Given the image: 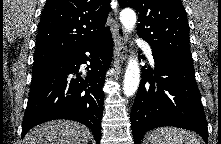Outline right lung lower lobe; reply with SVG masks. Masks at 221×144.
<instances>
[{
	"mask_svg": "<svg viewBox=\"0 0 221 144\" xmlns=\"http://www.w3.org/2000/svg\"><path fill=\"white\" fill-rule=\"evenodd\" d=\"M112 53V35L108 31L52 63L33 70L22 138L38 124L68 119L89 127L96 143H99L104 100L102 87ZM87 61L90 65L84 77L79 69Z\"/></svg>",
	"mask_w": 221,
	"mask_h": 144,
	"instance_id": "right-lung-lower-lobe-1",
	"label": "right lung lower lobe"
}]
</instances>
